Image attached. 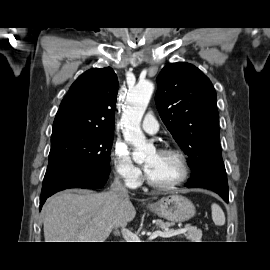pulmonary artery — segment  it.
I'll use <instances>...</instances> for the list:
<instances>
[{
  "label": "pulmonary artery",
  "instance_id": "1",
  "mask_svg": "<svg viewBox=\"0 0 270 270\" xmlns=\"http://www.w3.org/2000/svg\"><path fill=\"white\" fill-rule=\"evenodd\" d=\"M142 128L149 134H154L159 130V125L152 113H148L143 122Z\"/></svg>",
  "mask_w": 270,
  "mask_h": 270
}]
</instances>
